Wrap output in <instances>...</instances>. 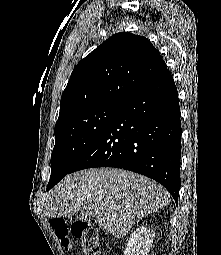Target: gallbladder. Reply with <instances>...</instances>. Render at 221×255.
<instances>
[{
    "label": "gallbladder",
    "instance_id": "1",
    "mask_svg": "<svg viewBox=\"0 0 221 255\" xmlns=\"http://www.w3.org/2000/svg\"><path fill=\"white\" fill-rule=\"evenodd\" d=\"M80 215L82 216V218H85V219H89V218L93 217V213L89 210H82L80 212Z\"/></svg>",
    "mask_w": 221,
    "mask_h": 255
}]
</instances>
